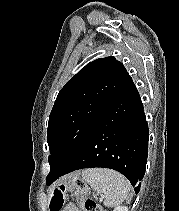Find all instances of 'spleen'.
Segmentation results:
<instances>
[{
    "mask_svg": "<svg viewBox=\"0 0 179 211\" xmlns=\"http://www.w3.org/2000/svg\"><path fill=\"white\" fill-rule=\"evenodd\" d=\"M82 179L93 189L94 198L104 196L107 207L119 206L131 194L130 182L119 172L106 168H91L82 171Z\"/></svg>",
    "mask_w": 179,
    "mask_h": 211,
    "instance_id": "1",
    "label": "spleen"
}]
</instances>
